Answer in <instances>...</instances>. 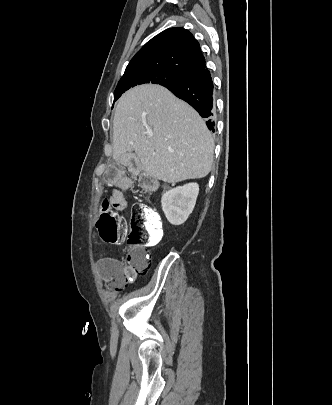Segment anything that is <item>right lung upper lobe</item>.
Instances as JSON below:
<instances>
[{
    "label": "right lung upper lobe",
    "instance_id": "obj_1",
    "mask_svg": "<svg viewBox=\"0 0 332 405\" xmlns=\"http://www.w3.org/2000/svg\"><path fill=\"white\" fill-rule=\"evenodd\" d=\"M206 68L199 42L183 28H169L147 42L132 58L125 73L157 70L187 77Z\"/></svg>",
    "mask_w": 332,
    "mask_h": 405
}]
</instances>
